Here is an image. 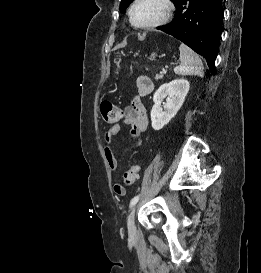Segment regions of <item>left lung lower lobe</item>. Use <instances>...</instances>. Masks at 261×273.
Here are the masks:
<instances>
[{
  "label": "left lung lower lobe",
  "mask_w": 261,
  "mask_h": 273,
  "mask_svg": "<svg viewBox=\"0 0 261 273\" xmlns=\"http://www.w3.org/2000/svg\"><path fill=\"white\" fill-rule=\"evenodd\" d=\"M175 6L173 22L158 29L202 55L213 70L223 18L221 0H177Z\"/></svg>",
  "instance_id": "obj_1"
}]
</instances>
